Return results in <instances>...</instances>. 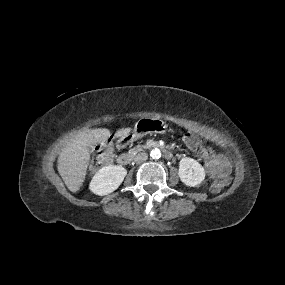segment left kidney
Wrapping results in <instances>:
<instances>
[{
	"label": "left kidney",
	"mask_w": 285,
	"mask_h": 285,
	"mask_svg": "<svg viewBox=\"0 0 285 285\" xmlns=\"http://www.w3.org/2000/svg\"><path fill=\"white\" fill-rule=\"evenodd\" d=\"M180 180L187 186H198L205 178L204 168L194 159L185 157L179 162Z\"/></svg>",
	"instance_id": "obj_1"
}]
</instances>
